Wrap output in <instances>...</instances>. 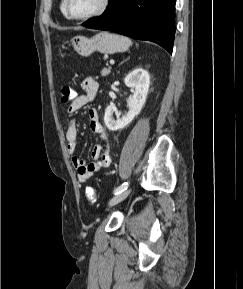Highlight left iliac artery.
I'll list each match as a JSON object with an SVG mask.
<instances>
[{
    "instance_id": "44dca946",
    "label": "left iliac artery",
    "mask_w": 243,
    "mask_h": 289,
    "mask_svg": "<svg viewBox=\"0 0 243 289\" xmlns=\"http://www.w3.org/2000/svg\"><path fill=\"white\" fill-rule=\"evenodd\" d=\"M129 182H124L114 190V194H119L128 188Z\"/></svg>"
}]
</instances>
